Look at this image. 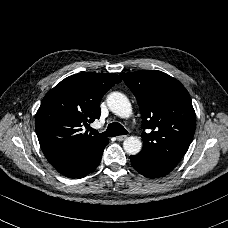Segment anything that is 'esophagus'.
<instances>
[{
    "label": "esophagus",
    "mask_w": 228,
    "mask_h": 228,
    "mask_svg": "<svg viewBox=\"0 0 228 228\" xmlns=\"http://www.w3.org/2000/svg\"><path fill=\"white\" fill-rule=\"evenodd\" d=\"M126 138H127L126 135H121L116 137L117 141H124Z\"/></svg>",
    "instance_id": "esophagus-1"
}]
</instances>
